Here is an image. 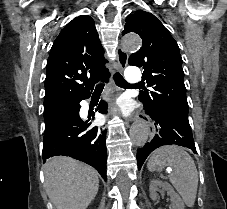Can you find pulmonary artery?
<instances>
[{"mask_svg":"<svg viewBox=\"0 0 227 209\" xmlns=\"http://www.w3.org/2000/svg\"><path fill=\"white\" fill-rule=\"evenodd\" d=\"M126 78V83H142L143 73L138 70L137 66H127V73L123 74Z\"/></svg>","mask_w":227,"mask_h":209,"instance_id":"obj_1","label":"pulmonary artery"}]
</instances>
